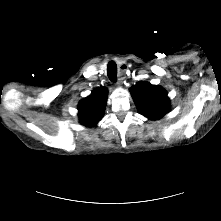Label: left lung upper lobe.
Here are the masks:
<instances>
[{
  "mask_svg": "<svg viewBox=\"0 0 221 221\" xmlns=\"http://www.w3.org/2000/svg\"><path fill=\"white\" fill-rule=\"evenodd\" d=\"M130 92L138 112L151 120L162 118L169 110L170 100L161 86L139 82Z\"/></svg>",
  "mask_w": 221,
  "mask_h": 221,
  "instance_id": "1",
  "label": "left lung upper lobe"
}]
</instances>
